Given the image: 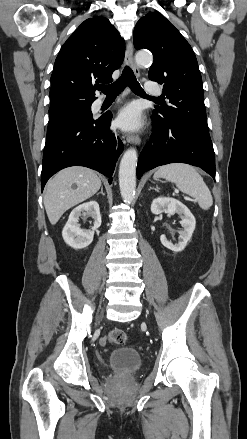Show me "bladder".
Returning a JSON list of instances; mask_svg holds the SVG:
<instances>
[{"label": "bladder", "mask_w": 247, "mask_h": 439, "mask_svg": "<svg viewBox=\"0 0 247 439\" xmlns=\"http://www.w3.org/2000/svg\"><path fill=\"white\" fill-rule=\"evenodd\" d=\"M110 369L118 374H131L142 366V356L134 348L125 347L114 350L108 357Z\"/></svg>", "instance_id": "1"}]
</instances>
